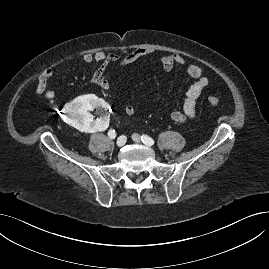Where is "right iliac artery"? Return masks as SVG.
Wrapping results in <instances>:
<instances>
[{
    "label": "right iliac artery",
    "instance_id": "obj_1",
    "mask_svg": "<svg viewBox=\"0 0 269 269\" xmlns=\"http://www.w3.org/2000/svg\"><path fill=\"white\" fill-rule=\"evenodd\" d=\"M108 136L111 138V139H114L116 137V132L114 129H110L109 132H108Z\"/></svg>",
    "mask_w": 269,
    "mask_h": 269
}]
</instances>
